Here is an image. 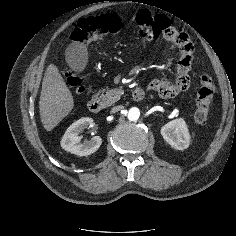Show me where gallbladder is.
I'll use <instances>...</instances> for the list:
<instances>
[{
    "label": "gallbladder",
    "instance_id": "1",
    "mask_svg": "<svg viewBox=\"0 0 236 236\" xmlns=\"http://www.w3.org/2000/svg\"><path fill=\"white\" fill-rule=\"evenodd\" d=\"M65 60L73 71H83L88 61V53L85 46L81 43L70 45L65 51Z\"/></svg>",
    "mask_w": 236,
    "mask_h": 236
}]
</instances>
